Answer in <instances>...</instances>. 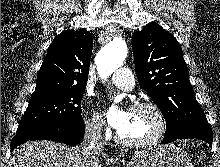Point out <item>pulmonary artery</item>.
Returning a JSON list of instances; mask_svg holds the SVG:
<instances>
[{
	"instance_id": "e3ab8cb5",
	"label": "pulmonary artery",
	"mask_w": 220,
	"mask_h": 167,
	"mask_svg": "<svg viewBox=\"0 0 220 167\" xmlns=\"http://www.w3.org/2000/svg\"><path fill=\"white\" fill-rule=\"evenodd\" d=\"M111 82L118 88L130 91L135 86V80L128 68L116 70L110 77Z\"/></svg>"
}]
</instances>
